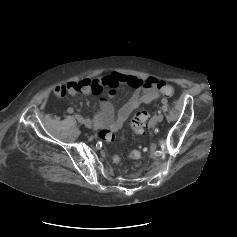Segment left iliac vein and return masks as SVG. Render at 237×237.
<instances>
[{"label":"left iliac vein","mask_w":237,"mask_h":237,"mask_svg":"<svg viewBox=\"0 0 237 237\" xmlns=\"http://www.w3.org/2000/svg\"><path fill=\"white\" fill-rule=\"evenodd\" d=\"M163 118H164L163 114H159L156 118V121L161 122L163 120Z\"/></svg>","instance_id":"left-iliac-vein-1"}]
</instances>
